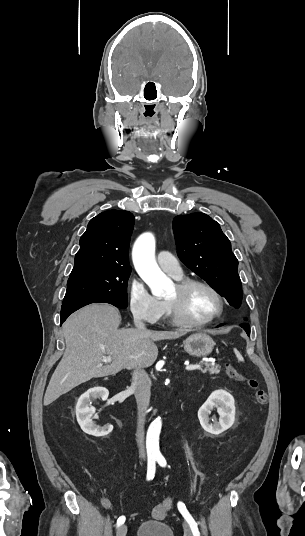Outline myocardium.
<instances>
[{
    "instance_id": "1",
    "label": "myocardium",
    "mask_w": 305,
    "mask_h": 536,
    "mask_svg": "<svg viewBox=\"0 0 305 536\" xmlns=\"http://www.w3.org/2000/svg\"><path fill=\"white\" fill-rule=\"evenodd\" d=\"M197 286L205 287V288L211 290L219 298L221 307H220L219 312L214 317H212V318H210L208 320H205V321L194 322V321H190L186 317L183 305L181 304V302L179 300H168V299H166V304L168 306V309H169L170 313L172 314L173 318L175 319V321L178 324H180V325H182L184 327H187V328H204V327H208V326L212 325L213 323L217 322L218 320H220L225 315V313L227 311L228 303H227V300H226L225 296L222 294V292L217 287H215L211 283L206 282L204 280H200V279L187 278V279H183V280L178 281L177 284H176V288L178 290V293L181 296L185 295L186 293H188L189 291H191L192 289H194Z\"/></svg>"
}]
</instances>
